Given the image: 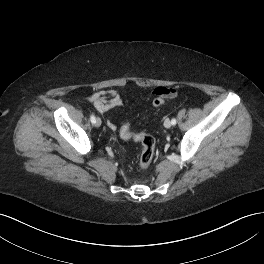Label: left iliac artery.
<instances>
[{
    "instance_id": "1",
    "label": "left iliac artery",
    "mask_w": 264,
    "mask_h": 264,
    "mask_svg": "<svg viewBox=\"0 0 264 264\" xmlns=\"http://www.w3.org/2000/svg\"><path fill=\"white\" fill-rule=\"evenodd\" d=\"M171 123H172V125H175V124L177 123L176 119L173 118V119L171 120Z\"/></svg>"
}]
</instances>
